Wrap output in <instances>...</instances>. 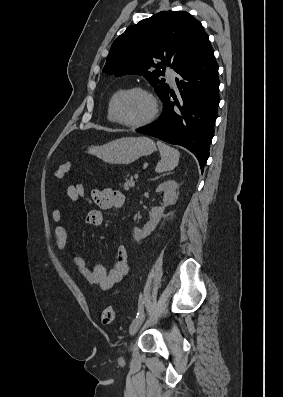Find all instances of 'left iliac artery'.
Masks as SVG:
<instances>
[{"mask_svg": "<svg viewBox=\"0 0 283 397\" xmlns=\"http://www.w3.org/2000/svg\"><path fill=\"white\" fill-rule=\"evenodd\" d=\"M143 304H144L143 295L140 294V296H139V303H138V312H137V316H138L141 312H143ZM137 316H136V317H137Z\"/></svg>", "mask_w": 283, "mask_h": 397, "instance_id": "1", "label": "left iliac artery"}]
</instances>
